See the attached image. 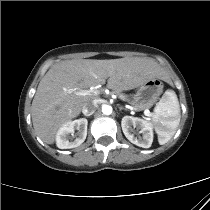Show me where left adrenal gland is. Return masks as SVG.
<instances>
[{
	"label": "left adrenal gland",
	"instance_id": "1",
	"mask_svg": "<svg viewBox=\"0 0 210 210\" xmlns=\"http://www.w3.org/2000/svg\"><path fill=\"white\" fill-rule=\"evenodd\" d=\"M119 109H120V110H125V108H124V107H122V106H119Z\"/></svg>",
	"mask_w": 210,
	"mask_h": 210
}]
</instances>
